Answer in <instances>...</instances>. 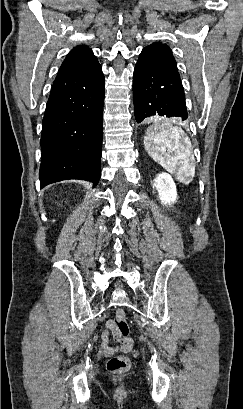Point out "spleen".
<instances>
[{"instance_id": "obj_1", "label": "spleen", "mask_w": 243, "mask_h": 409, "mask_svg": "<svg viewBox=\"0 0 243 409\" xmlns=\"http://www.w3.org/2000/svg\"><path fill=\"white\" fill-rule=\"evenodd\" d=\"M147 153L178 181L189 184L195 175L192 145L180 127L167 122H157L147 129L144 137Z\"/></svg>"}]
</instances>
